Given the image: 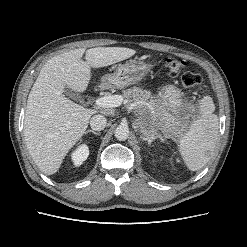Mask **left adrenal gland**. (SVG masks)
<instances>
[{"instance_id":"obj_1","label":"left adrenal gland","mask_w":247,"mask_h":247,"mask_svg":"<svg viewBox=\"0 0 247 247\" xmlns=\"http://www.w3.org/2000/svg\"><path fill=\"white\" fill-rule=\"evenodd\" d=\"M143 140H145V141H147L148 142V144L149 145H151V143L153 142V140H155V139H157V138H159L162 142L164 141L163 140V138H162V136L160 135V134H158V133H154V134H152L150 137H148V138H145V137H141Z\"/></svg>"}]
</instances>
